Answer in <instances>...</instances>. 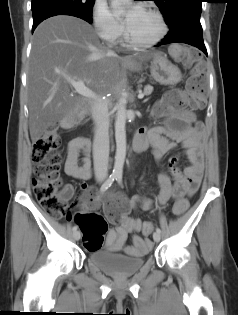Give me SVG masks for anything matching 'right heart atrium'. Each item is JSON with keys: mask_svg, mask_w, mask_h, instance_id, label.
<instances>
[{"mask_svg": "<svg viewBox=\"0 0 238 315\" xmlns=\"http://www.w3.org/2000/svg\"><path fill=\"white\" fill-rule=\"evenodd\" d=\"M92 18L96 32L103 40L114 42L122 35L124 28L121 21L103 0L95 1Z\"/></svg>", "mask_w": 238, "mask_h": 315, "instance_id": "1", "label": "right heart atrium"}]
</instances>
